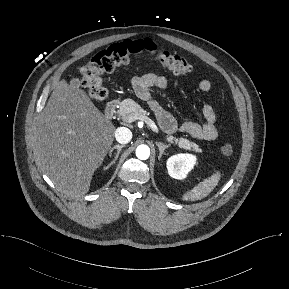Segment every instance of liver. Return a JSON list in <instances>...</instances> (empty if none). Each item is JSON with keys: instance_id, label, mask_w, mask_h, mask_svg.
Instances as JSON below:
<instances>
[{"instance_id": "obj_1", "label": "liver", "mask_w": 289, "mask_h": 289, "mask_svg": "<svg viewBox=\"0 0 289 289\" xmlns=\"http://www.w3.org/2000/svg\"><path fill=\"white\" fill-rule=\"evenodd\" d=\"M114 125L86 92L61 80L40 114L34 154L57 189L81 197L110 150Z\"/></svg>"}]
</instances>
